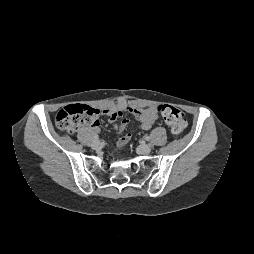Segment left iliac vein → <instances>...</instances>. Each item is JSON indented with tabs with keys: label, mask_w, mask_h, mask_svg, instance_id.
I'll return each instance as SVG.
<instances>
[{
	"label": "left iliac vein",
	"mask_w": 254,
	"mask_h": 254,
	"mask_svg": "<svg viewBox=\"0 0 254 254\" xmlns=\"http://www.w3.org/2000/svg\"><path fill=\"white\" fill-rule=\"evenodd\" d=\"M138 149L141 154H149L151 152V146L147 144L140 145Z\"/></svg>",
	"instance_id": "1"
}]
</instances>
